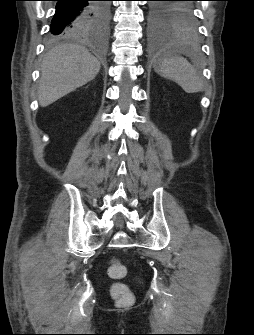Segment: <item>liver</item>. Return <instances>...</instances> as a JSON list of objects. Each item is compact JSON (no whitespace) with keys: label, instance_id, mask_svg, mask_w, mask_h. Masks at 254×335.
<instances>
[{"label":"liver","instance_id":"obj_1","mask_svg":"<svg viewBox=\"0 0 254 335\" xmlns=\"http://www.w3.org/2000/svg\"><path fill=\"white\" fill-rule=\"evenodd\" d=\"M100 62L83 46L60 44L51 49L41 66L38 100L46 107L93 80Z\"/></svg>","mask_w":254,"mask_h":335}]
</instances>
